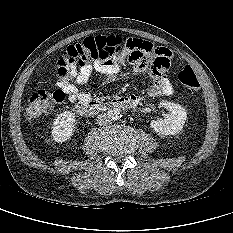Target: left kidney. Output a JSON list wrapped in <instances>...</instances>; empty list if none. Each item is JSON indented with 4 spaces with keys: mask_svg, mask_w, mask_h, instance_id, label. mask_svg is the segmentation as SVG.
Instances as JSON below:
<instances>
[{
    "mask_svg": "<svg viewBox=\"0 0 233 233\" xmlns=\"http://www.w3.org/2000/svg\"><path fill=\"white\" fill-rule=\"evenodd\" d=\"M159 106L165 108L169 114L163 118L152 120L150 123L152 130L166 136L180 133L187 119L185 108L168 101L160 102Z\"/></svg>",
    "mask_w": 233,
    "mask_h": 233,
    "instance_id": "left-kidney-1",
    "label": "left kidney"
}]
</instances>
